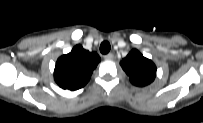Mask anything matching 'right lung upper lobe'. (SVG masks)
<instances>
[{"instance_id":"1","label":"right lung upper lobe","mask_w":203,"mask_h":123,"mask_svg":"<svg viewBox=\"0 0 203 123\" xmlns=\"http://www.w3.org/2000/svg\"><path fill=\"white\" fill-rule=\"evenodd\" d=\"M100 60L96 52L76 45L70 53L58 58L54 70L55 82L63 89H80L89 81Z\"/></svg>"}]
</instances>
